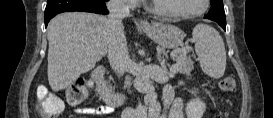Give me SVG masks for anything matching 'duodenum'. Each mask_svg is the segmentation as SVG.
Masks as SVG:
<instances>
[{"instance_id":"410a0bca","label":"duodenum","mask_w":273,"mask_h":118,"mask_svg":"<svg viewBox=\"0 0 273 118\" xmlns=\"http://www.w3.org/2000/svg\"><path fill=\"white\" fill-rule=\"evenodd\" d=\"M105 68L97 66L92 72V80L95 90L99 97L110 107H122L126 102V95L121 92L113 91L106 83Z\"/></svg>"}]
</instances>
